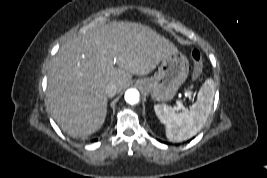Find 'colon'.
Instances as JSON below:
<instances>
[{"instance_id": "5ec220e1", "label": "colon", "mask_w": 267, "mask_h": 178, "mask_svg": "<svg viewBox=\"0 0 267 178\" xmlns=\"http://www.w3.org/2000/svg\"><path fill=\"white\" fill-rule=\"evenodd\" d=\"M191 59L193 61V76L197 78L203 70V56L201 51L197 48L192 49Z\"/></svg>"}]
</instances>
